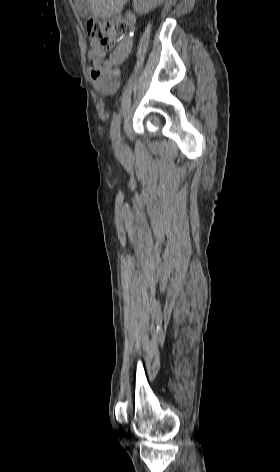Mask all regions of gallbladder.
I'll return each mask as SVG.
<instances>
[{"instance_id": "bac80fb5", "label": "gallbladder", "mask_w": 280, "mask_h": 472, "mask_svg": "<svg viewBox=\"0 0 280 472\" xmlns=\"http://www.w3.org/2000/svg\"><path fill=\"white\" fill-rule=\"evenodd\" d=\"M75 3L80 17L88 18L93 15L89 0H75Z\"/></svg>"}]
</instances>
